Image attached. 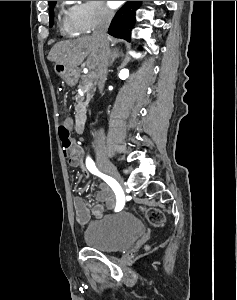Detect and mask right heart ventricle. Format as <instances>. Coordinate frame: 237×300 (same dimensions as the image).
I'll list each match as a JSON object with an SVG mask.
<instances>
[{"instance_id":"e07e8e85","label":"right heart ventricle","mask_w":237,"mask_h":300,"mask_svg":"<svg viewBox=\"0 0 237 300\" xmlns=\"http://www.w3.org/2000/svg\"><path fill=\"white\" fill-rule=\"evenodd\" d=\"M61 28L66 34H73L75 31L71 24L68 12H64L61 17Z\"/></svg>"}]
</instances>
